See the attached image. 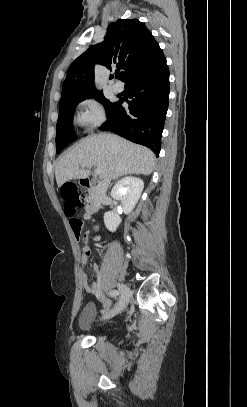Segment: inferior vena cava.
<instances>
[{"label":"inferior vena cava","instance_id":"obj_1","mask_svg":"<svg viewBox=\"0 0 247 407\" xmlns=\"http://www.w3.org/2000/svg\"><path fill=\"white\" fill-rule=\"evenodd\" d=\"M110 180H111L110 177L106 176V177H103L101 179V181L99 182V184L96 188V195H95L96 206H99L102 199L105 197L107 188L110 185Z\"/></svg>","mask_w":247,"mask_h":407}]
</instances>
